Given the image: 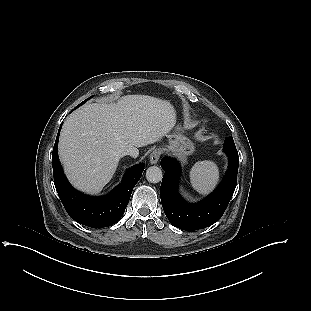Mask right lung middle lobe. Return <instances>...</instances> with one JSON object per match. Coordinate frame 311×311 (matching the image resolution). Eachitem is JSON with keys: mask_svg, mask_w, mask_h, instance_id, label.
Returning <instances> with one entry per match:
<instances>
[{"mask_svg": "<svg viewBox=\"0 0 311 311\" xmlns=\"http://www.w3.org/2000/svg\"><path fill=\"white\" fill-rule=\"evenodd\" d=\"M91 97H93V96H91ZM91 97H89L88 99H90ZM88 99H87V100H88ZM87 100H85V101H87ZM85 101H83L80 105H82L83 103H85ZM80 105H79V106H80Z\"/></svg>", "mask_w": 311, "mask_h": 311, "instance_id": "obj_1", "label": "right lung middle lobe"}]
</instances>
